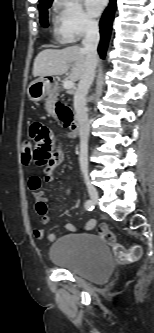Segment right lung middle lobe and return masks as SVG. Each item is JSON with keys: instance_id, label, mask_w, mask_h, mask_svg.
<instances>
[{"instance_id": "1", "label": "right lung middle lobe", "mask_w": 154, "mask_h": 333, "mask_svg": "<svg viewBox=\"0 0 154 333\" xmlns=\"http://www.w3.org/2000/svg\"><path fill=\"white\" fill-rule=\"evenodd\" d=\"M53 0H43L39 4L40 22L42 26L48 27V8L51 6Z\"/></svg>"}]
</instances>
